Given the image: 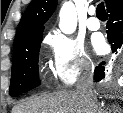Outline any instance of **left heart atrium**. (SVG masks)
I'll use <instances>...</instances> for the list:
<instances>
[{
    "label": "left heart atrium",
    "mask_w": 123,
    "mask_h": 113,
    "mask_svg": "<svg viewBox=\"0 0 123 113\" xmlns=\"http://www.w3.org/2000/svg\"><path fill=\"white\" fill-rule=\"evenodd\" d=\"M93 48L98 54H103L107 50L106 42L101 35H97L92 40Z\"/></svg>",
    "instance_id": "39dd6f15"
}]
</instances>
